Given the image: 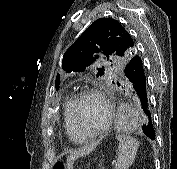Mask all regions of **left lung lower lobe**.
<instances>
[{"label":"left lung lower lobe","mask_w":177,"mask_h":169,"mask_svg":"<svg viewBox=\"0 0 177 169\" xmlns=\"http://www.w3.org/2000/svg\"><path fill=\"white\" fill-rule=\"evenodd\" d=\"M127 86L137 94L138 102L146 116L142 126L143 133L151 140L155 139V130L152 123L147 91V77L143 60L139 55L130 59L124 67Z\"/></svg>","instance_id":"obj_1"}]
</instances>
